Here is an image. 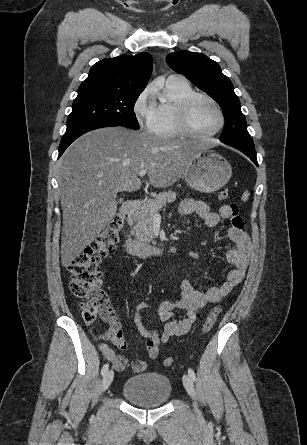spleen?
Segmentation results:
<instances>
[{"mask_svg":"<svg viewBox=\"0 0 307 445\" xmlns=\"http://www.w3.org/2000/svg\"><path fill=\"white\" fill-rule=\"evenodd\" d=\"M249 194H250V192H248V190H245V192H243L242 198H243L244 202H246V200H248Z\"/></svg>","mask_w":307,"mask_h":445,"instance_id":"obj_1","label":"spleen"}]
</instances>
